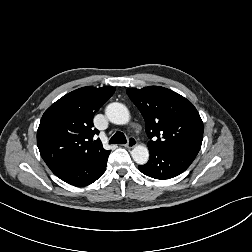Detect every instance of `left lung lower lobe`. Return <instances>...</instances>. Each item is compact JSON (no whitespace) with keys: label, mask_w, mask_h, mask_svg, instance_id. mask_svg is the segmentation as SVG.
<instances>
[{"label":"left lung lower lobe","mask_w":252,"mask_h":252,"mask_svg":"<svg viewBox=\"0 0 252 252\" xmlns=\"http://www.w3.org/2000/svg\"><path fill=\"white\" fill-rule=\"evenodd\" d=\"M150 159L139 170L152 178L165 180L184 172L196 155L182 151H149Z\"/></svg>","instance_id":"obj_1"}]
</instances>
